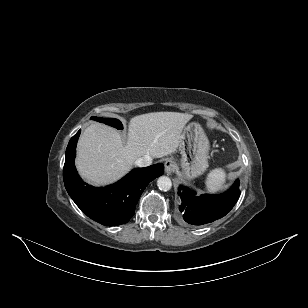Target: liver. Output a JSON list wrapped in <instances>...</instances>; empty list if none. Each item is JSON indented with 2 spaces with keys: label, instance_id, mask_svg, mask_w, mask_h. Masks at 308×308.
I'll return each mask as SVG.
<instances>
[{
  "label": "liver",
  "instance_id": "obj_1",
  "mask_svg": "<svg viewBox=\"0 0 308 308\" xmlns=\"http://www.w3.org/2000/svg\"><path fill=\"white\" fill-rule=\"evenodd\" d=\"M192 115L153 112L130 119L123 142L117 130L92 123L77 145L76 167L80 176L95 186L113 183L127 174L144 156L162 158L179 149L181 135Z\"/></svg>",
  "mask_w": 308,
  "mask_h": 308
}]
</instances>
